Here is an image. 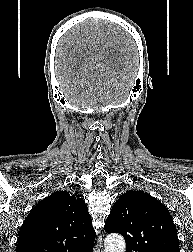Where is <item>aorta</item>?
Here are the masks:
<instances>
[{"mask_svg": "<svg viewBox=\"0 0 193 252\" xmlns=\"http://www.w3.org/2000/svg\"><path fill=\"white\" fill-rule=\"evenodd\" d=\"M126 244L120 235H108L105 239V252H125Z\"/></svg>", "mask_w": 193, "mask_h": 252, "instance_id": "1", "label": "aorta"}]
</instances>
